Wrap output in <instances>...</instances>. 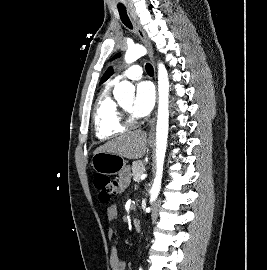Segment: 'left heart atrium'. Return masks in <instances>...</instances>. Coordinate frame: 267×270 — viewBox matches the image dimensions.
<instances>
[{
    "instance_id": "39dd6f15",
    "label": "left heart atrium",
    "mask_w": 267,
    "mask_h": 270,
    "mask_svg": "<svg viewBox=\"0 0 267 270\" xmlns=\"http://www.w3.org/2000/svg\"><path fill=\"white\" fill-rule=\"evenodd\" d=\"M154 102L155 92L152 84L147 81L138 83L131 107L133 114L138 117L147 115L152 110Z\"/></svg>"
}]
</instances>
